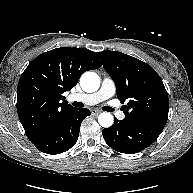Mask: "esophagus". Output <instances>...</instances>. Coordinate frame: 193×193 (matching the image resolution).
<instances>
[{"label":"esophagus","instance_id":"obj_1","mask_svg":"<svg viewBox=\"0 0 193 193\" xmlns=\"http://www.w3.org/2000/svg\"><path fill=\"white\" fill-rule=\"evenodd\" d=\"M100 112H101V111H99V110H97V109H92V110H91V114H92L93 116H97Z\"/></svg>","mask_w":193,"mask_h":193}]
</instances>
